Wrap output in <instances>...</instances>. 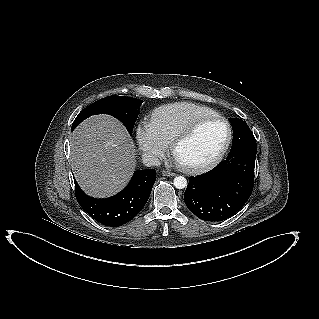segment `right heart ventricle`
Wrapping results in <instances>:
<instances>
[{
    "instance_id": "e07e8e85",
    "label": "right heart ventricle",
    "mask_w": 319,
    "mask_h": 319,
    "mask_svg": "<svg viewBox=\"0 0 319 319\" xmlns=\"http://www.w3.org/2000/svg\"><path fill=\"white\" fill-rule=\"evenodd\" d=\"M216 113L212 109L191 102H175L152 110L149 123L168 144L193 119Z\"/></svg>"
}]
</instances>
